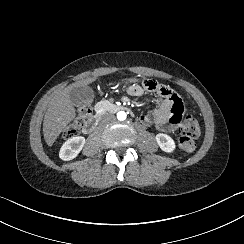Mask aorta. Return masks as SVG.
Returning a JSON list of instances; mask_svg holds the SVG:
<instances>
[{
	"label": "aorta",
	"instance_id": "762f6f07",
	"mask_svg": "<svg viewBox=\"0 0 244 244\" xmlns=\"http://www.w3.org/2000/svg\"><path fill=\"white\" fill-rule=\"evenodd\" d=\"M117 118L120 121H124L127 118V114L124 111H120L117 113Z\"/></svg>",
	"mask_w": 244,
	"mask_h": 244
}]
</instances>
